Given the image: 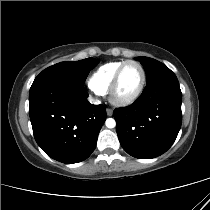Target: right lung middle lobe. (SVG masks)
<instances>
[{"instance_id":"dd1d6c3e","label":"right lung middle lobe","mask_w":210,"mask_h":210,"mask_svg":"<svg viewBox=\"0 0 210 210\" xmlns=\"http://www.w3.org/2000/svg\"><path fill=\"white\" fill-rule=\"evenodd\" d=\"M99 63L94 58L80 61H66L52 65L43 70L34 80H64L84 85L89 71Z\"/></svg>"}]
</instances>
